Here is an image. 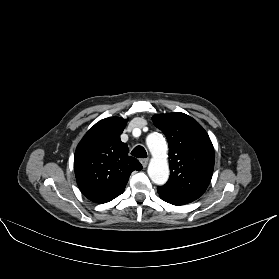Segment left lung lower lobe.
I'll use <instances>...</instances> for the list:
<instances>
[{"instance_id":"1","label":"left lung lower lobe","mask_w":279,"mask_h":279,"mask_svg":"<svg viewBox=\"0 0 279 279\" xmlns=\"http://www.w3.org/2000/svg\"><path fill=\"white\" fill-rule=\"evenodd\" d=\"M164 201L170 203V204H173V205H184L186 203H181V202H176V201H173V200H170V199H167V198H164L162 196H160Z\"/></svg>"}]
</instances>
